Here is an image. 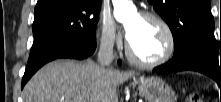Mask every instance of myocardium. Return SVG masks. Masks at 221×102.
<instances>
[{"instance_id": "1", "label": "myocardium", "mask_w": 221, "mask_h": 102, "mask_svg": "<svg viewBox=\"0 0 221 102\" xmlns=\"http://www.w3.org/2000/svg\"><path fill=\"white\" fill-rule=\"evenodd\" d=\"M140 16L142 18L154 21L162 27V29L164 30V32L166 34V38H167L166 51L160 58H158L156 60L145 61V60L141 59L134 52L130 42L127 41L126 54L131 62H133L134 64H136L140 67H143V68H154V67H158L160 65H163L170 60V58L172 57V55L175 51L176 42H175L174 33H173L170 25L167 23V21L164 18H162L160 15L153 13V12L144 11V12L140 13Z\"/></svg>"}]
</instances>
